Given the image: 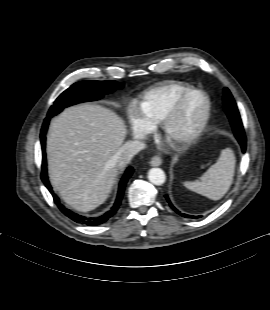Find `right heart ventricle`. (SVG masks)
<instances>
[{
  "instance_id": "right-heart-ventricle-1",
  "label": "right heart ventricle",
  "mask_w": 270,
  "mask_h": 310,
  "mask_svg": "<svg viewBox=\"0 0 270 310\" xmlns=\"http://www.w3.org/2000/svg\"><path fill=\"white\" fill-rule=\"evenodd\" d=\"M191 88L183 82H165L146 91L138 103L144 122L151 128L158 126L176 99Z\"/></svg>"
}]
</instances>
